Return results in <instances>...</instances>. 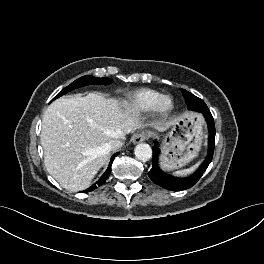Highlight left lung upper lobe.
I'll return each mask as SVG.
<instances>
[{
	"instance_id": "5c2ea615",
	"label": "left lung upper lobe",
	"mask_w": 264,
	"mask_h": 264,
	"mask_svg": "<svg viewBox=\"0 0 264 264\" xmlns=\"http://www.w3.org/2000/svg\"><path fill=\"white\" fill-rule=\"evenodd\" d=\"M181 91L185 98L188 109H191L193 111H198V112H201L202 109H208L207 105L205 104L203 100H201L200 98L196 97L195 95H193L192 93L184 89H181Z\"/></svg>"
}]
</instances>
